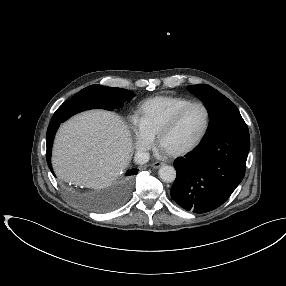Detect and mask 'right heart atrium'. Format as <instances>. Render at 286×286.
Instances as JSON below:
<instances>
[{
	"instance_id": "d8ad5b80",
	"label": "right heart atrium",
	"mask_w": 286,
	"mask_h": 286,
	"mask_svg": "<svg viewBox=\"0 0 286 286\" xmlns=\"http://www.w3.org/2000/svg\"><path fill=\"white\" fill-rule=\"evenodd\" d=\"M131 129L136 146L141 150H149L153 145L154 137L145 129L140 119H132Z\"/></svg>"
}]
</instances>
